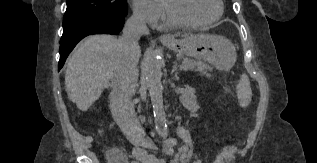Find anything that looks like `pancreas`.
<instances>
[{"label":"pancreas","mask_w":317,"mask_h":163,"mask_svg":"<svg viewBox=\"0 0 317 163\" xmlns=\"http://www.w3.org/2000/svg\"><path fill=\"white\" fill-rule=\"evenodd\" d=\"M182 59V65L183 67H186L189 70H196L203 74H206L210 76L208 71H212V67H210L208 64L199 61V60H193L188 58H181Z\"/></svg>","instance_id":"cf45deb5"}]
</instances>
